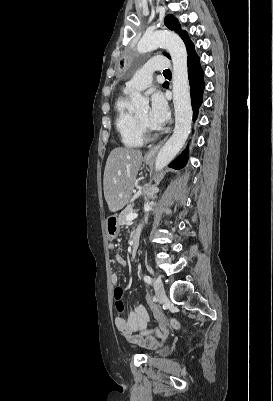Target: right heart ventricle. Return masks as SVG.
Listing matches in <instances>:
<instances>
[{
	"label": "right heart ventricle",
	"instance_id": "obj_1",
	"mask_svg": "<svg viewBox=\"0 0 273 401\" xmlns=\"http://www.w3.org/2000/svg\"><path fill=\"white\" fill-rule=\"evenodd\" d=\"M129 94L120 95L114 103L115 127L126 147H141L144 137L140 131L134 113L128 110Z\"/></svg>",
	"mask_w": 273,
	"mask_h": 401
}]
</instances>
